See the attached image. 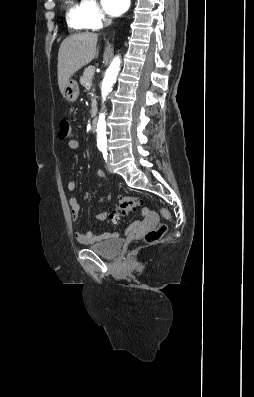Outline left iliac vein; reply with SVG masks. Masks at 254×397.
I'll use <instances>...</instances> for the list:
<instances>
[{
  "instance_id": "1",
  "label": "left iliac vein",
  "mask_w": 254,
  "mask_h": 397,
  "mask_svg": "<svg viewBox=\"0 0 254 397\" xmlns=\"http://www.w3.org/2000/svg\"><path fill=\"white\" fill-rule=\"evenodd\" d=\"M106 166H107V170H108L110 173H112V172H113V168H112V166H111L110 160L107 161Z\"/></svg>"
}]
</instances>
